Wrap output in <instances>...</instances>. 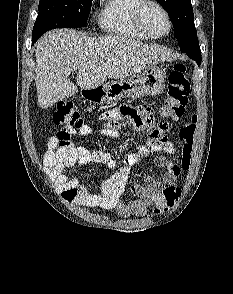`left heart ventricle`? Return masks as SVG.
<instances>
[{
	"instance_id": "b2bd125f",
	"label": "left heart ventricle",
	"mask_w": 233,
	"mask_h": 294,
	"mask_svg": "<svg viewBox=\"0 0 233 294\" xmlns=\"http://www.w3.org/2000/svg\"><path fill=\"white\" fill-rule=\"evenodd\" d=\"M144 22L147 28L156 35L165 33L168 28L164 14L156 7H148L146 9Z\"/></svg>"
}]
</instances>
